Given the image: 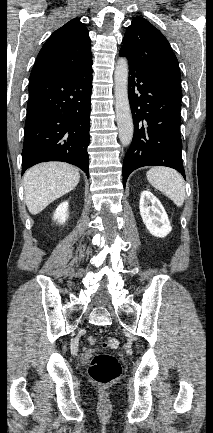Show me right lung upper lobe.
<instances>
[{"label":"right lung upper lobe","mask_w":213,"mask_h":433,"mask_svg":"<svg viewBox=\"0 0 213 433\" xmlns=\"http://www.w3.org/2000/svg\"><path fill=\"white\" fill-rule=\"evenodd\" d=\"M92 63L89 31L79 18L52 33L40 50L30 78L72 75Z\"/></svg>","instance_id":"1"}]
</instances>
